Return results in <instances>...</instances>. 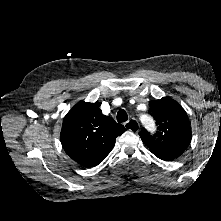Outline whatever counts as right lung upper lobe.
I'll list each match as a JSON object with an SVG mask.
<instances>
[{"label": "right lung upper lobe", "mask_w": 221, "mask_h": 221, "mask_svg": "<svg viewBox=\"0 0 221 221\" xmlns=\"http://www.w3.org/2000/svg\"><path fill=\"white\" fill-rule=\"evenodd\" d=\"M100 103H77L65 116L61 143L65 152L77 163L94 167L114 147L117 136L126 129L102 114Z\"/></svg>", "instance_id": "1"}]
</instances>
